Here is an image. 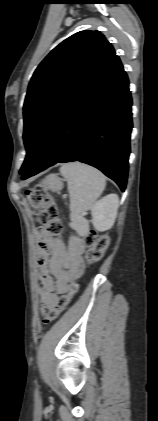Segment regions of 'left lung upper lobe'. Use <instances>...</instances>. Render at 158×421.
Segmentation results:
<instances>
[{
	"instance_id": "5c2ea615",
	"label": "left lung upper lobe",
	"mask_w": 158,
	"mask_h": 421,
	"mask_svg": "<svg viewBox=\"0 0 158 421\" xmlns=\"http://www.w3.org/2000/svg\"><path fill=\"white\" fill-rule=\"evenodd\" d=\"M112 45L99 31H80L55 47L35 70L25 98L23 174L34 162L53 124L111 58Z\"/></svg>"
}]
</instances>
